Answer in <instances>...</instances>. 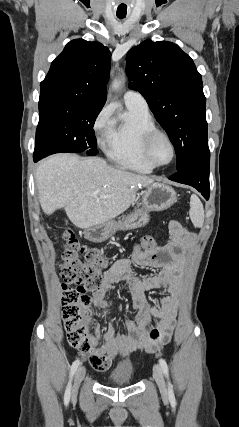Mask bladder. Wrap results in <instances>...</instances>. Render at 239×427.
Wrapping results in <instances>:
<instances>
[{
	"label": "bladder",
	"instance_id": "31cf9c89",
	"mask_svg": "<svg viewBox=\"0 0 239 427\" xmlns=\"http://www.w3.org/2000/svg\"><path fill=\"white\" fill-rule=\"evenodd\" d=\"M134 380V371L132 368H121L110 374L107 381L113 386H127Z\"/></svg>",
	"mask_w": 239,
	"mask_h": 427
}]
</instances>
